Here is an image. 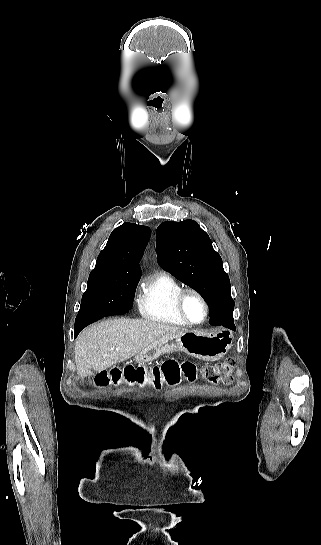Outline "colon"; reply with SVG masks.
Returning a JSON list of instances; mask_svg holds the SVG:
<instances>
[{
  "mask_svg": "<svg viewBox=\"0 0 321 545\" xmlns=\"http://www.w3.org/2000/svg\"><path fill=\"white\" fill-rule=\"evenodd\" d=\"M232 367V361L198 366L190 360L169 359L153 367L126 366L102 371L96 375L94 382L99 387L125 383L138 386L152 385L158 389L164 384L176 386L182 379L193 383L198 376H202L211 384H228L232 381Z\"/></svg>",
  "mask_w": 321,
  "mask_h": 545,
  "instance_id": "colon-1",
  "label": "colon"
}]
</instances>
